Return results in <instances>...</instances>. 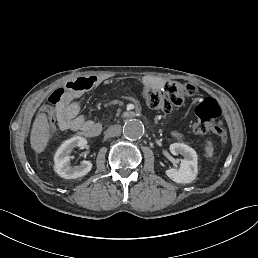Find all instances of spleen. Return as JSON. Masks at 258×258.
I'll list each match as a JSON object with an SVG mask.
<instances>
[{
    "instance_id": "3e777b00",
    "label": "spleen",
    "mask_w": 258,
    "mask_h": 258,
    "mask_svg": "<svg viewBox=\"0 0 258 258\" xmlns=\"http://www.w3.org/2000/svg\"><path fill=\"white\" fill-rule=\"evenodd\" d=\"M205 151H206L207 157H212L213 156L214 149H213V145H212L211 141H207Z\"/></svg>"
}]
</instances>
